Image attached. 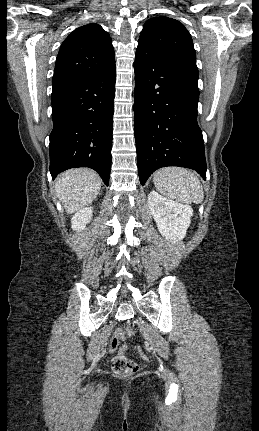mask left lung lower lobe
Returning <instances> with one entry per match:
<instances>
[{
	"label": "left lung lower lobe",
	"mask_w": 259,
	"mask_h": 431,
	"mask_svg": "<svg viewBox=\"0 0 259 431\" xmlns=\"http://www.w3.org/2000/svg\"><path fill=\"white\" fill-rule=\"evenodd\" d=\"M134 131L138 174L144 185L165 166L206 178L202 131L197 123L198 73L138 46L134 62Z\"/></svg>",
	"instance_id": "0a47b994"
}]
</instances>
